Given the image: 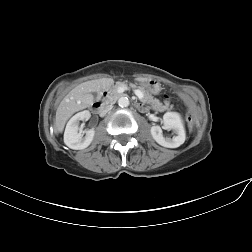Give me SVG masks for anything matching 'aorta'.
Instances as JSON below:
<instances>
[{
    "label": "aorta",
    "mask_w": 252,
    "mask_h": 252,
    "mask_svg": "<svg viewBox=\"0 0 252 252\" xmlns=\"http://www.w3.org/2000/svg\"><path fill=\"white\" fill-rule=\"evenodd\" d=\"M129 104H130V101H129V99L127 97H121L118 100V105L120 107H128Z\"/></svg>",
    "instance_id": "aorta-1"
}]
</instances>
